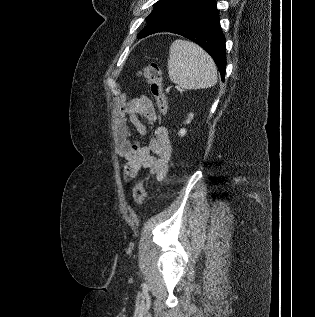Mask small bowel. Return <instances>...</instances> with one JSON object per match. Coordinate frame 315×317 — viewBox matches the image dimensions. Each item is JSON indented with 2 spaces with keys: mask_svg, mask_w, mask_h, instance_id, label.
<instances>
[{
  "mask_svg": "<svg viewBox=\"0 0 315 317\" xmlns=\"http://www.w3.org/2000/svg\"><path fill=\"white\" fill-rule=\"evenodd\" d=\"M113 121L115 153L126 160L125 175L133 178L141 168H147L158 181L166 176L172 154L168 130L156 126L157 115L152 102L143 97L134 99L116 111ZM144 119L146 124L141 122ZM130 125L140 135L154 130L148 144L132 139Z\"/></svg>",
  "mask_w": 315,
  "mask_h": 317,
  "instance_id": "c3829d8e",
  "label": "small bowel"
}]
</instances>
